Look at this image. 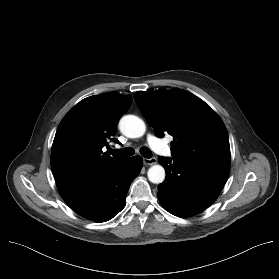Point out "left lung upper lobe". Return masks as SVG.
Here are the masks:
<instances>
[{
	"label": "left lung upper lobe",
	"instance_id": "obj_1",
	"mask_svg": "<svg viewBox=\"0 0 279 279\" xmlns=\"http://www.w3.org/2000/svg\"><path fill=\"white\" fill-rule=\"evenodd\" d=\"M135 102L157 137L173 136V158L230 167L226 127L218 114L194 94L182 90L136 92Z\"/></svg>",
	"mask_w": 279,
	"mask_h": 279
}]
</instances>
